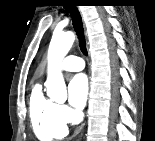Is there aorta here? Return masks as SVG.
<instances>
[{
  "label": "aorta",
  "mask_w": 155,
  "mask_h": 141,
  "mask_svg": "<svg viewBox=\"0 0 155 141\" xmlns=\"http://www.w3.org/2000/svg\"><path fill=\"white\" fill-rule=\"evenodd\" d=\"M75 40L73 32H55L48 49L47 95L51 100L64 102L67 99L66 84L60 63L67 55Z\"/></svg>",
  "instance_id": "obj_1"
}]
</instances>
